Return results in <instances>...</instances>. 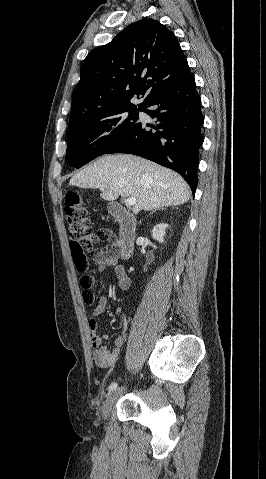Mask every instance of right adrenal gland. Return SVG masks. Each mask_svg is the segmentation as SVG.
Listing matches in <instances>:
<instances>
[{"mask_svg":"<svg viewBox=\"0 0 266 479\" xmlns=\"http://www.w3.org/2000/svg\"><path fill=\"white\" fill-rule=\"evenodd\" d=\"M160 210H164V208H161ZM153 212H155V211H153ZM153 212H152V213H153Z\"/></svg>","mask_w":266,"mask_h":479,"instance_id":"1","label":"right adrenal gland"}]
</instances>
